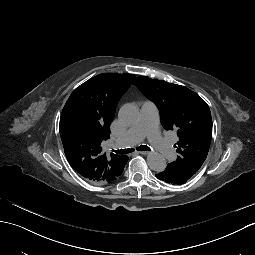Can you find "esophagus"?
Listing matches in <instances>:
<instances>
[{
  "mask_svg": "<svg viewBox=\"0 0 255 255\" xmlns=\"http://www.w3.org/2000/svg\"><path fill=\"white\" fill-rule=\"evenodd\" d=\"M138 153H140L142 155H148L150 152H148V151H139Z\"/></svg>",
  "mask_w": 255,
  "mask_h": 255,
  "instance_id": "1",
  "label": "esophagus"
}]
</instances>
